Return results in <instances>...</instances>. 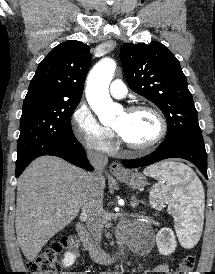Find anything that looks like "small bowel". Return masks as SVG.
Returning <instances> with one entry per match:
<instances>
[{
    "label": "small bowel",
    "mask_w": 215,
    "mask_h": 274,
    "mask_svg": "<svg viewBox=\"0 0 215 274\" xmlns=\"http://www.w3.org/2000/svg\"><path fill=\"white\" fill-rule=\"evenodd\" d=\"M147 272H155V273H161V274H174L171 269L169 264L167 263H162L157 266H155L153 269L147 270ZM62 274H86L84 272H63ZM102 274H118V273H111V272H104Z\"/></svg>",
    "instance_id": "small-bowel-1"
}]
</instances>
